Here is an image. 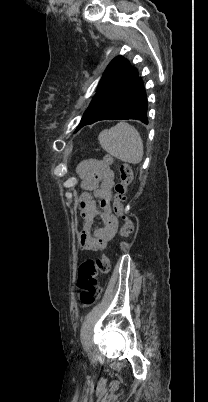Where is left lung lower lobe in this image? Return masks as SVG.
I'll return each instance as SVG.
<instances>
[{
  "mask_svg": "<svg viewBox=\"0 0 208 402\" xmlns=\"http://www.w3.org/2000/svg\"><path fill=\"white\" fill-rule=\"evenodd\" d=\"M147 98L143 81L137 77L124 96L111 106L97 121L135 119L148 124Z\"/></svg>",
  "mask_w": 208,
  "mask_h": 402,
  "instance_id": "obj_1",
  "label": "left lung lower lobe"
}]
</instances>
